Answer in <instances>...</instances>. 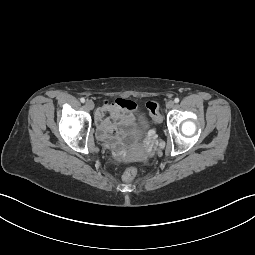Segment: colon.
<instances>
[{"label": "colon", "instance_id": "obj_1", "mask_svg": "<svg viewBox=\"0 0 255 255\" xmlns=\"http://www.w3.org/2000/svg\"><path fill=\"white\" fill-rule=\"evenodd\" d=\"M147 110L155 123H159L161 121V115L159 112V106L156 102L151 101L146 104ZM137 174V169L134 166H129L126 168L122 175V180L126 183H129L134 180Z\"/></svg>", "mask_w": 255, "mask_h": 255}]
</instances>
